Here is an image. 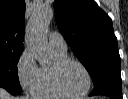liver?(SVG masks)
<instances>
[{"instance_id": "1", "label": "liver", "mask_w": 128, "mask_h": 99, "mask_svg": "<svg viewBox=\"0 0 128 99\" xmlns=\"http://www.w3.org/2000/svg\"><path fill=\"white\" fill-rule=\"evenodd\" d=\"M0 99H14V98H12L6 90L0 88ZM21 99H29V98H21Z\"/></svg>"}]
</instances>
